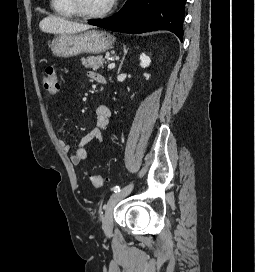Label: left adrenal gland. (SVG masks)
<instances>
[{
  "mask_svg": "<svg viewBox=\"0 0 255 272\" xmlns=\"http://www.w3.org/2000/svg\"><path fill=\"white\" fill-rule=\"evenodd\" d=\"M123 52H124V55H123V58H122V60H121L120 65H119V68H118V72H117V74H119V73H120L121 68H122V65H123V61H124L125 56H126V54H127V52H128V49H127L126 45H124V46H123Z\"/></svg>",
  "mask_w": 255,
  "mask_h": 272,
  "instance_id": "left-adrenal-gland-1",
  "label": "left adrenal gland"
}]
</instances>
